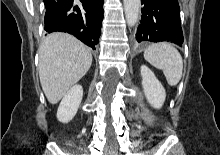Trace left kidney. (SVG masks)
Masks as SVG:
<instances>
[{
    "instance_id": "left-kidney-1",
    "label": "left kidney",
    "mask_w": 220,
    "mask_h": 155,
    "mask_svg": "<svg viewBox=\"0 0 220 155\" xmlns=\"http://www.w3.org/2000/svg\"><path fill=\"white\" fill-rule=\"evenodd\" d=\"M142 87L148 102L160 109L165 101L166 92L154 73L145 65L141 66Z\"/></svg>"
}]
</instances>
